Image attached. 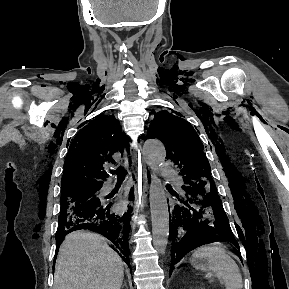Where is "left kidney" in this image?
Segmentation results:
<instances>
[{"label":"left kidney","instance_id":"5707ae66","mask_svg":"<svg viewBox=\"0 0 289 289\" xmlns=\"http://www.w3.org/2000/svg\"><path fill=\"white\" fill-rule=\"evenodd\" d=\"M198 289H204V288L200 287V288H198Z\"/></svg>","mask_w":289,"mask_h":289}]
</instances>
